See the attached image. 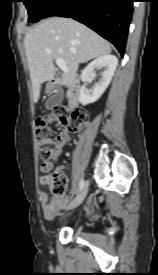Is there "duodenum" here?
Here are the masks:
<instances>
[{
    "label": "duodenum",
    "mask_w": 158,
    "mask_h": 275,
    "mask_svg": "<svg viewBox=\"0 0 158 275\" xmlns=\"http://www.w3.org/2000/svg\"><path fill=\"white\" fill-rule=\"evenodd\" d=\"M57 83H61L60 80H56ZM80 100V90L77 82H72L67 87V103L69 107L75 108L78 106Z\"/></svg>",
    "instance_id": "obj_1"
}]
</instances>
